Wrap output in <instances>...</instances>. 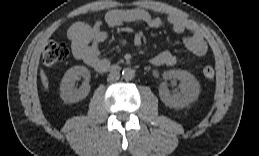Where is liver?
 Returning <instances> with one entry per match:
<instances>
[{
    "instance_id": "1",
    "label": "liver",
    "mask_w": 259,
    "mask_h": 156,
    "mask_svg": "<svg viewBox=\"0 0 259 156\" xmlns=\"http://www.w3.org/2000/svg\"><path fill=\"white\" fill-rule=\"evenodd\" d=\"M40 77H41V82L43 84V87L47 90L49 87V82H48V78L42 68L40 69Z\"/></svg>"
}]
</instances>
